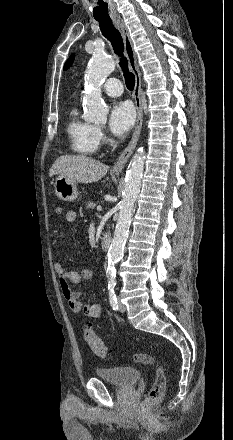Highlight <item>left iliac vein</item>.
<instances>
[{
  "instance_id": "obj_1",
  "label": "left iliac vein",
  "mask_w": 233,
  "mask_h": 440,
  "mask_svg": "<svg viewBox=\"0 0 233 440\" xmlns=\"http://www.w3.org/2000/svg\"><path fill=\"white\" fill-rule=\"evenodd\" d=\"M119 311L120 312H125L126 311V306L123 303H121V302H119Z\"/></svg>"
}]
</instances>
